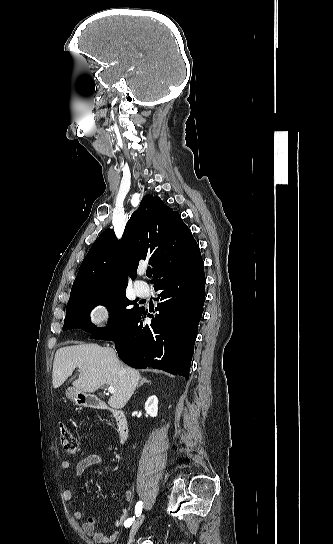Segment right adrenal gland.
Instances as JSON below:
<instances>
[{"instance_id": "obj_1", "label": "right adrenal gland", "mask_w": 333, "mask_h": 544, "mask_svg": "<svg viewBox=\"0 0 333 544\" xmlns=\"http://www.w3.org/2000/svg\"><path fill=\"white\" fill-rule=\"evenodd\" d=\"M145 383H148V384H149L150 381H148L147 379L143 378L142 381L140 382V384H139L138 386H141V385H143V384H145ZM138 386H137V387H138Z\"/></svg>"}]
</instances>
